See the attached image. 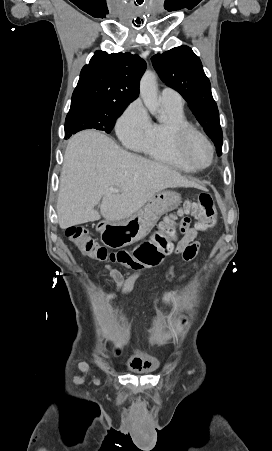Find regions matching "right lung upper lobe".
Listing matches in <instances>:
<instances>
[{
    "label": "right lung upper lobe",
    "mask_w": 272,
    "mask_h": 451,
    "mask_svg": "<svg viewBox=\"0 0 272 451\" xmlns=\"http://www.w3.org/2000/svg\"><path fill=\"white\" fill-rule=\"evenodd\" d=\"M146 62L138 55L96 51L80 73L72 103L94 101L129 104L139 95Z\"/></svg>",
    "instance_id": "right-lung-upper-lobe-1"
}]
</instances>
